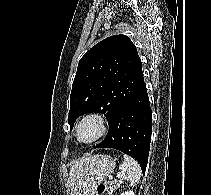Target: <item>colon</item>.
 <instances>
[{
    "label": "colon",
    "instance_id": "1",
    "mask_svg": "<svg viewBox=\"0 0 211 195\" xmlns=\"http://www.w3.org/2000/svg\"><path fill=\"white\" fill-rule=\"evenodd\" d=\"M96 190H97V192H98L99 194H102V193L107 192V191H108V188L106 187L105 184H99V185L97 186Z\"/></svg>",
    "mask_w": 211,
    "mask_h": 195
}]
</instances>
